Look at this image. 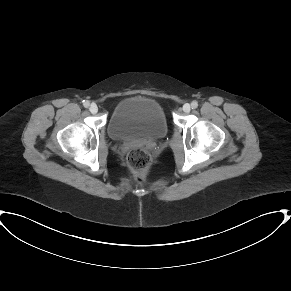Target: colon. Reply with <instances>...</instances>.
I'll use <instances>...</instances> for the list:
<instances>
[{"instance_id":"colon-1","label":"colon","mask_w":291,"mask_h":291,"mask_svg":"<svg viewBox=\"0 0 291 291\" xmlns=\"http://www.w3.org/2000/svg\"><path fill=\"white\" fill-rule=\"evenodd\" d=\"M151 155L145 147L132 149L127 155V163L134 175L139 180H145L150 169Z\"/></svg>"}]
</instances>
